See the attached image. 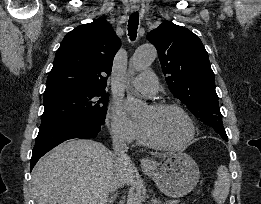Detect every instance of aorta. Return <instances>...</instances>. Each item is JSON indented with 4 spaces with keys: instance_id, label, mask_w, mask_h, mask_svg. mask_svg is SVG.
Returning a JSON list of instances; mask_svg holds the SVG:
<instances>
[{
    "instance_id": "aorta-1",
    "label": "aorta",
    "mask_w": 261,
    "mask_h": 204,
    "mask_svg": "<svg viewBox=\"0 0 261 204\" xmlns=\"http://www.w3.org/2000/svg\"><path fill=\"white\" fill-rule=\"evenodd\" d=\"M156 49L152 45H143L136 49L131 58L130 65L136 71L148 68L156 57ZM146 109V104L133 94H128L126 98V110L130 117H141ZM128 204H142L141 192L137 188L129 197Z\"/></svg>"
}]
</instances>
